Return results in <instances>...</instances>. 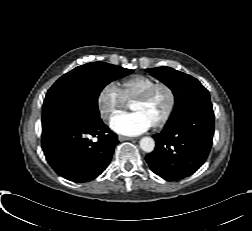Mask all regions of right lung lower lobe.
<instances>
[{
  "label": "right lung lower lobe",
  "instance_id": "right-lung-lower-lobe-1",
  "mask_svg": "<svg viewBox=\"0 0 252 231\" xmlns=\"http://www.w3.org/2000/svg\"><path fill=\"white\" fill-rule=\"evenodd\" d=\"M97 137L93 142L89 138ZM42 149L57 174L74 182H88L108 166L117 135L101 119L58 118L42 126Z\"/></svg>",
  "mask_w": 252,
  "mask_h": 231
}]
</instances>
